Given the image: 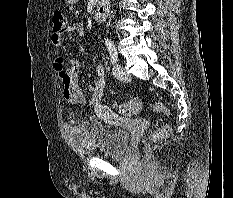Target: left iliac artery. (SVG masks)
<instances>
[{
	"label": "left iliac artery",
	"mask_w": 233,
	"mask_h": 198,
	"mask_svg": "<svg viewBox=\"0 0 233 198\" xmlns=\"http://www.w3.org/2000/svg\"><path fill=\"white\" fill-rule=\"evenodd\" d=\"M106 46L108 48V51H109V54L111 57V62L116 63L118 61V55H117V51H116V48H115L113 41L107 40Z\"/></svg>",
	"instance_id": "left-iliac-artery-1"
}]
</instances>
